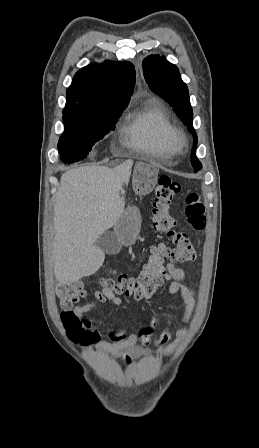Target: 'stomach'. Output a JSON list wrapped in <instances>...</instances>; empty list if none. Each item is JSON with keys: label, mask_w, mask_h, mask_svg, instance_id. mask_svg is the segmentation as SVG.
Returning a JSON list of instances; mask_svg holds the SVG:
<instances>
[{"label": "stomach", "mask_w": 259, "mask_h": 448, "mask_svg": "<svg viewBox=\"0 0 259 448\" xmlns=\"http://www.w3.org/2000/svg\"><path fill=\"white\" fill-rule=\"evenodd\" d=\"M142 214L137 206H126L118 220L114 232L123 246H131L138 238Z\"/></svg>", "instance_id": "obj_1"}]
</instances>
